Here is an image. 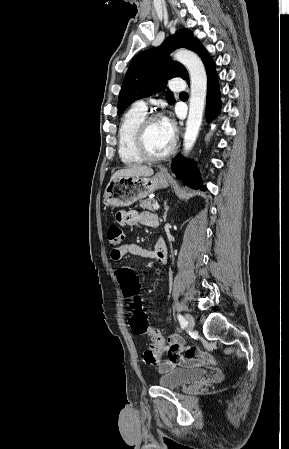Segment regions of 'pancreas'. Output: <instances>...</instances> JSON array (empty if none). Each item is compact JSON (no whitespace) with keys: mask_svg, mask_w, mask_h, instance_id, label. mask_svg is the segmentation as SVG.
<instances>
[{"mask_svg":"<svg viewBox=\"0 0 289 449\" xmlns=\"http://www.w3.org/2000/svg\"><path fill=\"white\" fill-rule=\"evenodd\" d=\"M157 202L154 199H146V200H142L139 202V205L141 208L143 209H147V210H154L153 206L156 204Z\"/></svg>","mask_w":289,"mask_h":449,"instance_id":"pancreas-1","label":"pancreas"}]
</instances>
